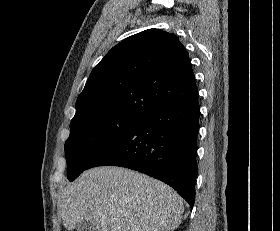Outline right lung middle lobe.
Listing matches in <instances>:
<instances>
[{
	"label": "right lung middle lobe",
	"mask_w": 280,
	"mask_h": 231,
	"mask_svg": "<svg viewBox=\"0 0 280 231\" xmlns=\"http://www.w3.org/2000/svg\"><path fill=\"white\" fill-rule=\"evenodd\" d=\"M140 119L111 116L72 120L71 133L65 142L68 179H76L106 149L137 125Z\"/></svg>",
	"instance_id": "obj_1"
}]
</instances>
